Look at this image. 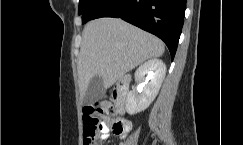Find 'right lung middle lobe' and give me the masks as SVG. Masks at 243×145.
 <instances>
[{"label": "right lung middle lobe", "mask_w": 243, "mask_h": 145, "mask_svg": "<svg viewBox=\"0 0 243 145\" xmlns=\"http://www.w3.org/2000/svg\"><path fill=\"white\" fill-rule=\"evenodd\" d=\"M94 0H80L79 2V8H78V13L79 15H82L83 12L90 6V4L93 2ZM83 23V22H82Z\"/></svg>", "instance_id": "obj_1"}]
</instances>
